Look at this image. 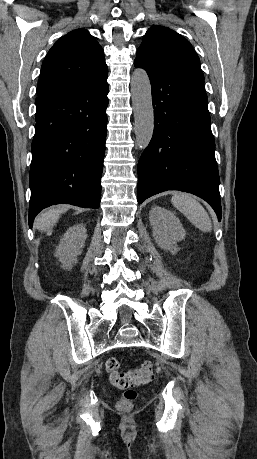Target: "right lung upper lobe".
<instances>
[{"label": "right lung upper lobe", "instance_id": "1", "mask_svg": "<svg viewBox=\"0 0 257 459\" xmlns=\"http://www.w3.org/2000/svg\"><path fill=\"white\" fill-rule=\"evenodd\" d=\"M108 74L104 52L85 29L61 37L49 50L41 67L37 99L78 90Z\"/></svg>", "mask_w": 257, "mask_h": 459}]
</instances>
